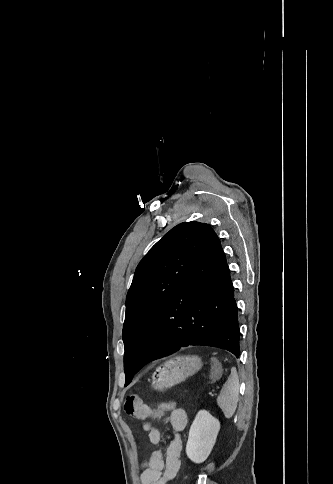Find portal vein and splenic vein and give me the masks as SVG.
<instances>
[{"instance_id":"obj_1","label":"portal vein and splenic vein","mask_w":333,"mask_h":484,"mask_svg":"<svg viewBox=\"0 0 333 484\" xmlns=\"http://www.w3.org/2000/svg\"><path fill=\"white\" fill-rule=\"evenodd\" d=\"M208 394H209L211 397H214V396H216V395H217V394H216L214 391H211V392H209Z\"/></svg>"}]
</instances>
